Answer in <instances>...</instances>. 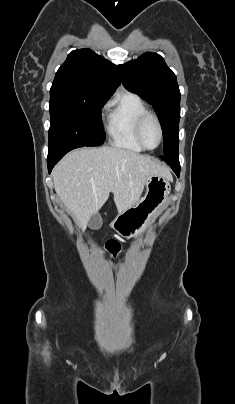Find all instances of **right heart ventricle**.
Segmentation results:
<instances>
[{
    "mask_svg": "<svg viewBox=\"0 0 235 404\" xmlns=\"http://www.w3.org/2000/svg\"><path fill=\"white\" fill-rule=\"evenodd\" d=\"M148 112L142 99L133 93H125L111 104L106 130L113 145L140 152L144 148L135 136L136 122Z\"/></svg>",
    "mask_w": 235,
    "mask_h": 404,
    "instance_id": "obj_1",
    "label": "right heart ventricle"
}]
</instances>
